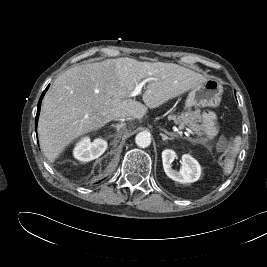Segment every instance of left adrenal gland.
Segmentation results:
<instances>
[{"label": "left adrenal gland", "mask_w": 267, "mask_h": 267, "mask_svg": "<svg viewBox=\"0 0 267 267\" xmlns=\"http://www.w3.org/2000/svg\"><path fill=\"white\" fill-rule=\"evenodd\" d=\"M164 133H166L167 135H169V137L163 133H160L161 137H162V140L163 141H166V140H173L175 137H178V135L174 134V133H171V132H168L167 130L165 129H161ZM192 143L195 142V140H192V139H189Z\"/></svg>", "instance_id": "left-adrenal-gland-1"}]
</instances>
